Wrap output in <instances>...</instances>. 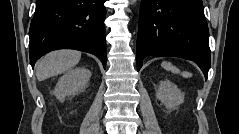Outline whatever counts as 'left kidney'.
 <instances>
[{"mask_svg":"<svg viewBox=\"0 0 239 134\" xmlns=\"http://www.w3.org/2000/svg\"><path fill=\"white\" fill-rule=\"evenodd\" d=\"M157 98L165 105L167 109H175L184 102V94L177 86L169 80L160 82L156 90Z\"/></svg>","mask_w":239,"mask_h":134,"instance_id":"obj_1","label":"left kidney"}]
</instances>
